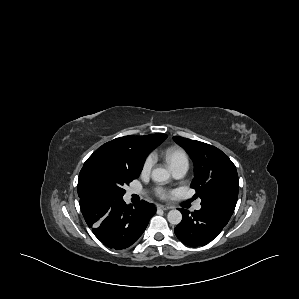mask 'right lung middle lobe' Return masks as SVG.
Masks as SVG:
<instances>
[{"label": "right lung middle lobe", "mask_w": 299, "mask_h": 299, "mask_svg": "<svg viewBox=\"0 0 299 299\" xmlns=\"http://www.w3.org/2000/svg\"><path fill=\"white\" fill-rule=\"evenodd\" d=\"M100 147L87 159L78 179V195L123 198L124 187L140 175Z\"/></svg>", "instance_id": "1"}]
</instances>
